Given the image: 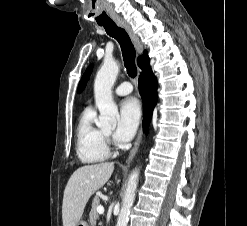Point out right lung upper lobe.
I'll return each instance as SVG.
<instances>
[{
    "instance_id": "1",
    "label": "right lung upper lobe",
    "mask_w": 247,
    "mask_h": 226,
    "mask_svg": "<svg viewBox=\"0 0 247 226\" xmlns=\"http://www.w3.org/2000/svg\"><path fill=\"white\" fill-rule=\"evenodd\" d=\"M149 59L146 53H144L143 56L138 58V66L143 69L146 67V65L148 64Z\"/></svg>"
}]
</instances>
